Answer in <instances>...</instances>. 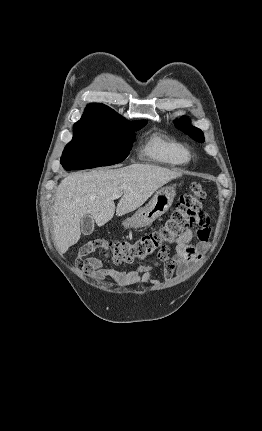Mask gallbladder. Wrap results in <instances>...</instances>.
<instances>
[{
    "instance_id": "obj_1",
    "label": "gallbladder",
    "mask_w": 262,
    "mask_h": 431,
    "mask_svg": "<svg viewBox=\"0 0 262 431\" xmlns=\"http://www.w3.org/2000/svg\"><path fill=\"white\" fill-rule=\"evenodd\" d=\"M94 231V219L89 215H85L81 219V232L84 236L91 235Z\"/></svg>"
}]
</instances>
